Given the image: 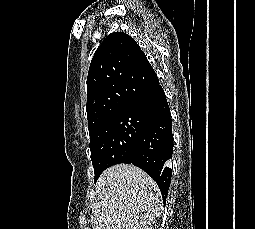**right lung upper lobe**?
<instances>
[{
	"label": "right lung upper lobe",
	"mask_w": 255,
	"mask_h": 229,
	"mask_svg": "<svg viewBox=\"0 0 255 229\" xmlns=\"http://www.w3.org/2000/svg\"><path fill=\"white\" fill-rule=\"evenodd\" d=\"M156 73L135 40L108 35L96 50L87 77V119L91 135L104 121L140 100Z\"/></svg>",
	"instance_id": "obj_1"
}]
</instances>
